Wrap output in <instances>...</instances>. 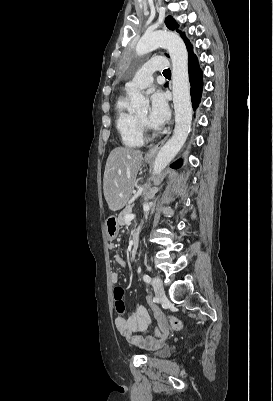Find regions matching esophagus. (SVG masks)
I'll return each mask as SVG.
<instances>
[{
    "label": "esophagus",
    "mask_w": 273,
    "mask_h": 401,
    "mask_svg": "<svg viewBox=\"0 0 273 401\" xmlns=\"http://www.w3.org/2000/svg\"><path fill=\"white\" fill-rule=\"evenodd\" d=\"M170 134H171V131H169V133L165 136V138H163V140L159 141V143H157V145L153 146L146 153L145 158L153 160L155 158L156 154L158 153V151L160 150V148L164 145L165 141L168 139Z\"/></svg>",
    "instance_id": "obj_1"
}]
</instances>
